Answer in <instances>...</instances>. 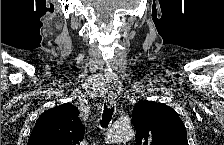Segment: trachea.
I'll use <instances>...</instances> for the list:
<instances>
[{"instance_id": "trachea-1", "label": "trachea", "mask_w": 224, "mask_h": 145, "mask_svg": "<svg viewBox=\"0 0 224 145\" xmlns=\"http://www.w3.org/2000/svg\"><path fill=\"white\" fill-rule=\"evenodd\" d=\"M114 108L113 107H108L106 104L104 105V111L102 115V120H101V126L106 127L113 115Z\"/></svg>"}]
</instances>
